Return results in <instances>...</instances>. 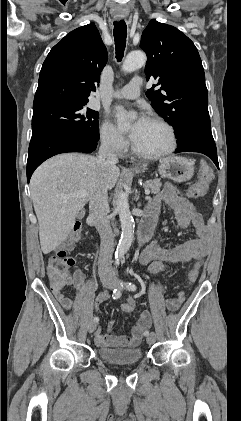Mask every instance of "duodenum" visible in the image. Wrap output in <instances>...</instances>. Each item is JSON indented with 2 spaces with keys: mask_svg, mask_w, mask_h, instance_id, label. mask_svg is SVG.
<instances>
[{
  "mask_svg": "<svg viewBox=\"0 0 241 421\" xmlns=\"http://www.w3.org/2000/svg\"><path fill=\"white\" fill-rule=\"evenodd\" d=\"M155 220L154 216L147 215L141 222L138 229V241L140 244H144L150 238Z\"/></svg>",
  "mask_w": 241,
  "mask_h": 421,
  "instance_id": "1",
  "label": "duodenum"
}]
</instances>
